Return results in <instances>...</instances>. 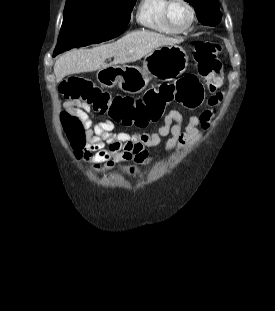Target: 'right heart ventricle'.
I'll return each instance as SVG.
<instances>
[{
  "label": "right heart ventricle",
  "instance_id": "obj_1",
  "mask_svg": "<svg viewBox=\"0 0 275 311\" xmlns=\"http://www.w3.org/2000/svg\"><path fill=\"white\" fill-rule=\"evenodd\" d=\"M167 0H141L136 10V21L144 29L160 34H175L165 22L163 11Z\"/></svg>",
  "mask_w": 275,
  "mask_h": 311
}]
</instances>
